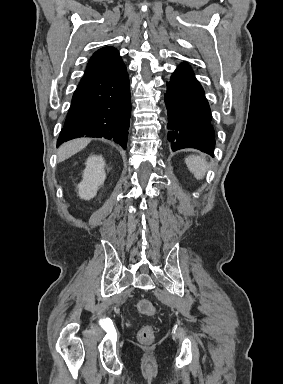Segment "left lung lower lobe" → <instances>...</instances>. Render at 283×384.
I'll list each match as a JSON object with an SVG mask.
<instances>
[{"mask_svg": "<svg viewBox=\"0 0 283 384\" xmlns=\"http://www.w3.org/2000/svg\"><path fill=\"white\" fill-rule=\"evenodd\" d=\"M169 129L167 136L173 151L195 148L214 156V129L204 90L191 67L182 63L167 82L164 96Z\"/></svg>", "mask_w": 283, "mask_h": 384, "instance_id": "left-lung-lower-lobe-1", "label": "left lung lower lobe"}]
</instances>
